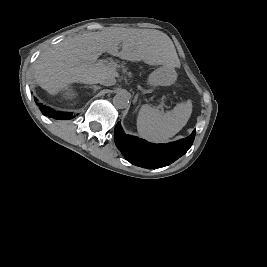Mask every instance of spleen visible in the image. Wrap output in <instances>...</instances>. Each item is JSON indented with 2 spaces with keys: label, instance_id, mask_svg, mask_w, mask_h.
<instances>
[{
  "label": "spleen",
  "instance_id": "1",
  "mask_svg": "<svg viewBox=\"0 0 267 267\" xmlns=\"http://www.w3.org/2000/svg\"><path fill=\"white\" fill-rule=\"evenodd\" d=\"M189 117L185 102L168 112L144 104L137 116V130L140 137L149 142L165 143L186 125Z\"/></svg>",
  "mask_w": 267,
  "mask_h": 267
}]
</instances>
